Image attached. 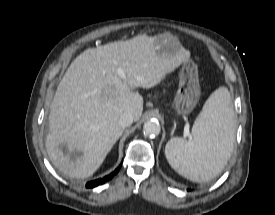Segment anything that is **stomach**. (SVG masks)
Masks as SVG:
<instances>
[{
	"label": "stomach",
	"instance_id": "stomach-1",
	"mask_svg": "<svg viewBox=\"0 0 275 215\" xmlns=\"http://www.w3.org/2000/svg\"><path fill=\"white\" fill-rule=\"evenodd\" d=\"M181 47L177 37L170 33L159 34L154 42L155 51L160 56H174ZM200 92L197 65L192 61L184 62L173 102L175 112L182 116L189 115L200 99Z\"/></svg>",
	"mask_w": 275,
	"mask_h": 215
}]
</instances>
